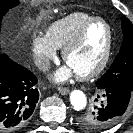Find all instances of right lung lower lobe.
<instances>
[{"label": "right lung lower lobe", "mask_w": 133, "mask_h": 133, "mask_svg": "<svg viewBox=\"0 0 133 133\" xmlns=\"http://www.w3.org/2000/svg\"><path fill=\"white\" fill-rule=\"evenodd\" d=\"M36 83L28 69L0 54V130H15L27 122L39 99Z\"/></svg>", "instance_id": "obj_1"}]
</instances>
